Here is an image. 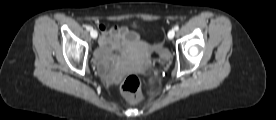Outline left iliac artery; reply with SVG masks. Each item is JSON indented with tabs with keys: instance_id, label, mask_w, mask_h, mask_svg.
Returning <instances> with one entry per match:
<instances>
[{
	"instance_id": "left-iliac-artery-1",
	"label": "left iliac artery",
	"mask_w": 276,
	"mask_h": 120,
	"mask_svg": "<svg viewBox=\"0 0 276 120\" xmlns=\"http://www.w3.org/2000/svg\"><path fill=\"white\" fill-rule=\"evenodd\" d=\"M174 30H179V26L178 25H176L175 27H174Z\"/></svg>"
}]
</instances>
